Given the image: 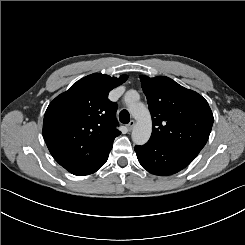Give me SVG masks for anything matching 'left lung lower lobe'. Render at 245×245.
Instances as JSON below:
<instances>
[{
	"label": "left lung lower lobe",
	"mask_w": 245,
	"mask_h": 245,
	"mask_svg": "<svg viewBox=\"0 0 245 245\" xmlns=\"http://www.w3.org/2000/svg\"><path fill=\"white\" fill-rule=\"evenodd\" d=\"M135 151L139 163L149 173L168 176L186 168L193 159L170 147L148 141L143 146H136Z\"/></svg>",
	"instance_id": "left-lung-lower-lobe-1"
}]
</instances>
